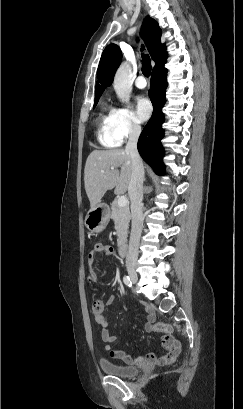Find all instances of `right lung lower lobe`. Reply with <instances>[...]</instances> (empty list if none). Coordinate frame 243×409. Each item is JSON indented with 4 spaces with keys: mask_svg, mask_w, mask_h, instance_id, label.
<instances>
[{
    "mask_svg": "<svg viewBox=\"0 0 243 409\" xmlns=\"http://www.w3.org/2000/svg\"><path fill=\"white\" fill-rule=\"evenodd\" d=\"M166 59L167 55L152 70L149 95L153 104V114L138 141V151L141 157L157 174H163L165 171L162 162L164 150L161 144L164 131L161 125L164 122L162 108L166 102L165 91L168 86L167 69L164 67Z\"/></svg>",
    "mask_w": 243,
    "mask_h": 409,
    "instance_id": "1",
    "label": "right lung lower lobe"
}]
</instances>
